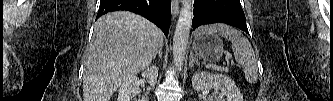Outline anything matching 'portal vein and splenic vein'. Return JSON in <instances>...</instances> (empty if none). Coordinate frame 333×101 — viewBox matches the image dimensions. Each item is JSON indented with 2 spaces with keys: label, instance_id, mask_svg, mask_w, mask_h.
I'll return each instance as SVG.
<instances>
[{
  "label": "portal vein and splenic vein",
  "instance_id": "portal-vein-and-splenic-vein-1",
  "mask_svg": "<svg viewBox=\"0 0 333 101\" xmlns=\"http://www.w3.org/2000/svg\"><path fill=\"white\" fill-rule=\"evenodd\" d=\"M228 57L231 59V56L230 55H228ZM232 63V62H231ZM207 67L208 68H215V69H219V67H217V66H215V65H207ZM223 70H227L226 68L224 69L223 68Z\"/></svg>",
  "mask_w": 333,
  "mask_h": 101
}]
</instances>
